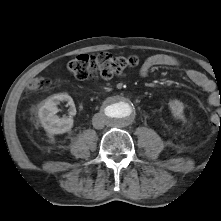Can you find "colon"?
Returning <instances> with one entry per match:
<instances>
[{"label":"colon","mask_w":221,"mask_h":221,"mask_svg":"<svg viewBox=\"0 0 221 221\" xmlns=\"http://www.w3.org/2000/svg\"><path fill=\"white\" fill-rule=\"evenodd\" d=\"M138 61L134 55L118 56L109 52H100L97 54H81L69 62L68 68L80 80L98 77L109 79L135 67ZM49 84L48 79L38 78L30 85L28 93L42 90ZM212 124L221 127V110L212 116Z\"/></svg>","instance_id":"obj_1"}]
</instances>
